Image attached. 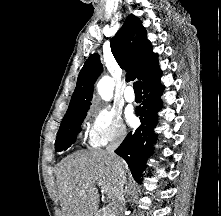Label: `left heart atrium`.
<instances>
[{
	"instance_id": "obj_1",
	"label": "left heart atrium",
	"mask_w": 221,
	"mask_h": 216,
	"mask_svg": "<svg viewBox=\"0 0 221 216\" xmlns=\"http://www.w3.org/2000/svg\"><path fill=\"white\" fill-rule=\"evenodd\" d=\"M127 118H128V121L131 125H135L136 122H137V119L136 117L133 115L132 112H129L128 115H127Z\"/></svg>"
}]
</instances>
